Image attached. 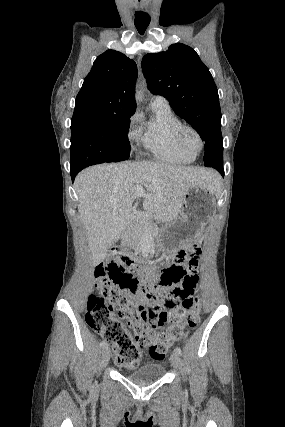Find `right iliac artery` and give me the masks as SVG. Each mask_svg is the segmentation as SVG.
Instances as JSON below:
<instances>
[{
	"label": "right iliac artery",
	"instance_id": "82829eb1",
	"mask_svg": "<svg viewBox=\"0 0 285 427\" xmlns=\"http://www.w3.org/2000/svg\"><path fill=\"white\" fill-rule=\"evenodd\" d=\"M106 344H107V342H106V340L104 339L103 341H101V343H100V347H101V348H103V347H105V346H106Z\"/></svg>",
	"mask_w": 285,
	"mask_h": 427
}]
</instances>
